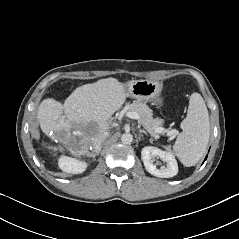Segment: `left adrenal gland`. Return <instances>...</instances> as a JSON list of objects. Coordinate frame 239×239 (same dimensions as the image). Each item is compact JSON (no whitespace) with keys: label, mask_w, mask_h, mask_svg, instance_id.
Masks as SVG:
<instances>
[{"label":"left adrenal gland","mask_w":239,"mask_h":239,"mask_svg":"<svg viewBox=\"0 0 239 239\" xmlns=\"http://www.w3.org/2000/svg\"><path fill=\"white\" fill-rule=\"evenodd\" d=\"M138 128H139V133H144L145 135H147V132L145 130L140 129L139 126H138Z\"/></svg>","instance_id":"1"}]
</instances>
